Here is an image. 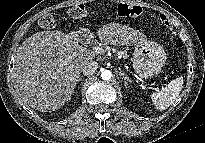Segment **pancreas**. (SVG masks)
<instances>
[{"mask_svg": "<svg viewBox=\"0 0 205 143\" xmlns=\"http://www.w3.org/2000/svg\"><path fill=\"white\" fill-rule=\"evenodd\" d=\"M117 54L126 58L128 55L125 52L117 51Z\"/></svg>", "mask_w": 205, "mask_h": 143, "instance_id": "1", "label": "pancreas"}]
</instances>
